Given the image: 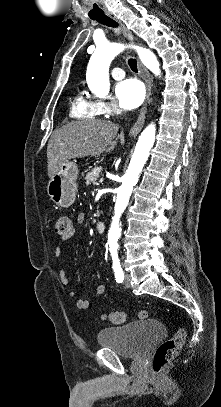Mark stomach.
I'll use <instances>...</instances> for the list:
<instances>
[{
  "mask_svg": "<svg viewBox=\"0 0 221 407\" xmlns=\"http://www.w3.org/2000/svg\"><path fill=\"white\" fill-rule=\"evenodd\" d=\"M79 170L75 162L65 161L50 179L47 192L50 199L58 206L68 208L76 198Z\"/></svg>",
  "mask_w": 221,
  "mask_h": 407,
  "instance_id": "obj_1",
  "label": "stomach"
}]
</instances>
